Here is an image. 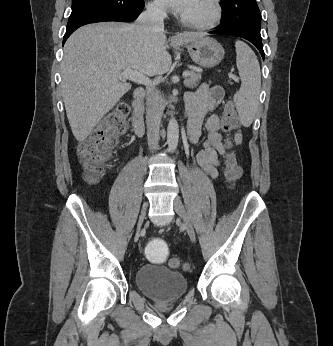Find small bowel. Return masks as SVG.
<instances>
[{
  "label": "small bowel",
  "mask_w": 333,
  "mask_h": 346,
  "mask_svg": "<svg viewBox=\"0 0 333 346\" xmlns=\"http://www.w3.org/2000/svg\"><path fill=\"white\" fill-rule=\"evenodd\" d=\"M224 91L221 86H210L203 83L195 92L188 93L185 98V110L189 118L188 131L192 142L199 139L204 129L206 140L197 154L199 165L211 176L216 177L220 166V156L227 151L223 142L224 130L220 116L215 112L221 103ZM239 130L233 135L235 145L241 143Z\"/></svg>",
  "instance_id": "1"
}]
</instances>
